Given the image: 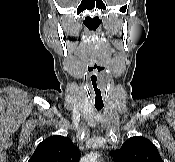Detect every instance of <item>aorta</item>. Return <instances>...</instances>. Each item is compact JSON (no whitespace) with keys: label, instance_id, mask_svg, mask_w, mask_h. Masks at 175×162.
<instances>
[{"label":"aorta","instance_id":"obj_1","mask_svg":"<svg viewBox=\"0 0 175 162\" xmlns=\"http://www.w3.org/2000/svg\"><path fill=\"white\" fill-rule=\"evenodd\" d=\"M98 155L97 153H90L84 156L81 162H97Z\"/></svg>","mask_w":175,"mask_h":162}]
</instances>
